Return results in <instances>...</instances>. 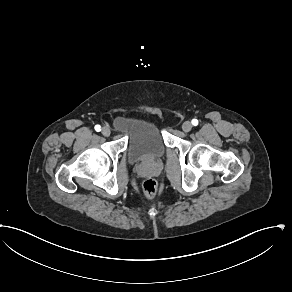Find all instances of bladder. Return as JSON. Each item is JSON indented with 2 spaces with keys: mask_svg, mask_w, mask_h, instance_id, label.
<instances>
[{
  "mask_svg": "<svg viewBox=\"0 0 292 292\" xmlns=\"http://www.w3.org/2000/svg\"><path fill=\"white\" fill-rule=\"evenodd\" d=\"M117 132L127 137V156L130 162L161 157L166 152L162 125L149 116H119L114 120Z\"/></svg>",
  "mask_w": 292,
  "mask_h": 292,
  "instance_id": "31cf9c89",
  "label": "bladder"
}]
</instances>
